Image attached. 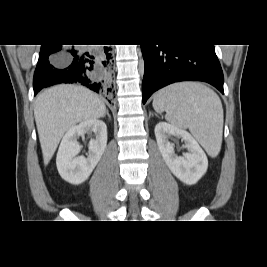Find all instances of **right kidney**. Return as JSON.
I'll return each mask as SVG.
<instances>
[{"label":"right kidney","mask_w":267,"mask_h":267,"mask_svg":"<svg viewBox=\"0 0 267 267\" xmlns=\"http://www.w3.org/2000/svg\"><path fill=\"white\" fill-rule=\"evenodd\" d=\"M89 132H94L96 138L89 142L88 156H78L82 147L77 139ZM106 144L107 126L101 120H86L69 129L61 141L56 158L60 176L71 184L83 183L101 159Z\"/></svg>","instance_id":"1"}]
</instances>
